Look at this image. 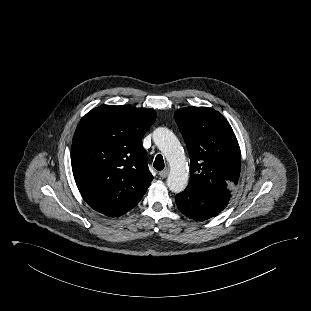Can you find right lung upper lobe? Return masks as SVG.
<instances>
[{"label": "right lung upper lobe", "mask_w": 311, "mask_h": 311, "mask_svg": "<svg viewBox=\"0 0 311 311\" xmlns=\"http://www.w3.org/2000/svg\"><path fill=\"white\" fill-rule=\"evenodd\" d=\"M153 109L102 105L77 125L71 147L74 179L84 200L106 216H120L142 199L153 176L142 138Z\"/></svg>", "instance_id": "cb5924a9"}]
</instances>
